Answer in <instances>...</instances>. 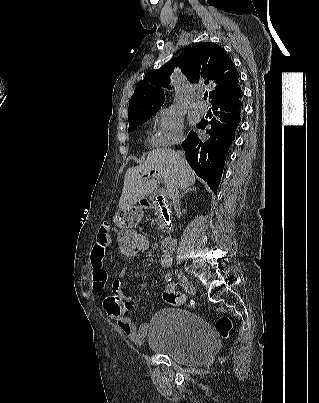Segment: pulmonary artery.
I'll use <instances>...</instances> for the list:
<instances>
[{
	"label": "pulmonary artery",
	"mask_w": 319,
	"mask_h": 403,
	"mask_svg": "<svg viewBox=\"0 0 319 403\" xmlns=\"http://www.w3.org/2000/svg\"><path fill=\"white\" fill-rule=\"evenodd\" d=\"M192 109L200 114H205L207 112L206 103L199 97L197 101L192 104Z\"/></svg>",
	"instance_id": "e3ab8cb5"
}]
</instances>
